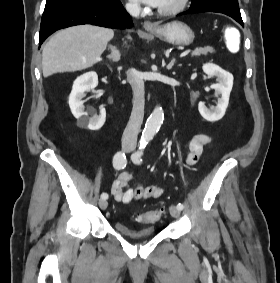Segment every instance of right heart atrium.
<instances>
[{
  "label": "right heart atrium",
  "mask_w": 280,
  "mask_h": 283,
  "mask_svg": "<svg viewBox=\"0 0 280 283\" xmlns=\"http://www.w3.org/2000/svg\"><path fill=\"white\" fill-rule=\"evenodd\" d=\"M126 8L132 14H137L140 12V6L134 2L127 3Z\"/></svg>",
  "instance_id": "right-heart-atrium-1"
}]
</instances>
